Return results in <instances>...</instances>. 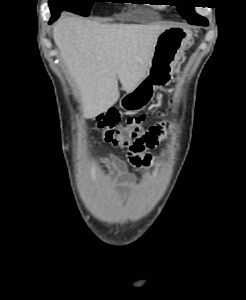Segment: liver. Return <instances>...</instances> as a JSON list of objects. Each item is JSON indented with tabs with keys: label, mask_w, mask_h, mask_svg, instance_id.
I'll return each instance as SVG.
<instances>
[{
	"label": "liver",
	"mask_w": 246,
	"mask_h": 300,
	"mask_svg": "<svg viewBox=\"0 0 246 300\" xmlns=\"http://www.w3.org/2000/svg\"><path fill=\"white\" fill-rule=\"evenodd\" d=\"M168 26L103 24L78 17L61 19L53 39L80 92L83 115L92 118L145 78L157 38Z\"/></svg>",
	"instance_id": "obj_1"
}]
</instances>
